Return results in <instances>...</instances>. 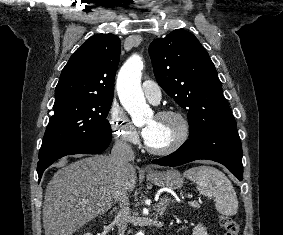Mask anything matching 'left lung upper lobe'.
Segmentation results:
<instances>
[{
	"label": "left lung upper lobe",
	"instance_id": "1",
	"mask_svg": "<svg viewBox=\"0 0 283 235\" xmlns=\"http://www.w3.org/2000/svg\"><path fill=\"white\" fill-rule=\"evenodd\" d=\"M149 54L158 84L188 111L189 137L236 128L215 66L192 33L155 39Z\"/></svg>",
	"mask_w": 283,
	"mask_h": 235
}]
</instances>
